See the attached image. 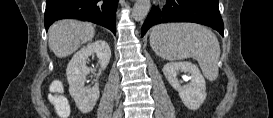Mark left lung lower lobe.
<instances>
[{
	"label": "left lung lower lobe",
	"mask_w": 273,
	"mask_h": 118,
	"mask_svg": "<svg viewBox=\"0 0 273 118\" xmlns=\"http://www.w3.org/2000/svg\"><path fill=\"white\" fill-rule=\"evenodd\" d=\"M167 22L198 23L210 26L224 36L219 7L211 0H167L162 9L153 6L142 26L141 35L153 25Z\"/></svg>",
	"instance_id": "0a47b994"
}]
</instances>
